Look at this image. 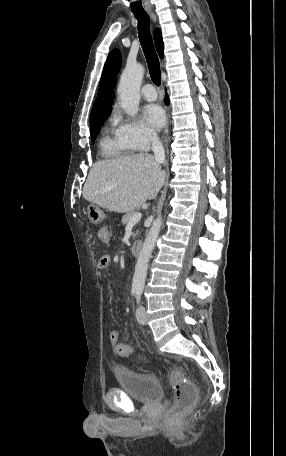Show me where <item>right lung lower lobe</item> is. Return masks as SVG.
Instances as JSON below:
<instances>
[{"instance_id": "1", "label": "right lung lower lobe", "mask_w": 286, "mask_h": 456, "mask_svg": "<svg viewBox=\"0 0 286 456\" xmlns=\"http://www.w3.org/2000/svg\"><path fill=\"white\" fill-rule=\"evenodd\" d=\"M165 101H166V102H168V98H166V100H165Z\"/></svg>"}]
</instances>
